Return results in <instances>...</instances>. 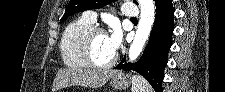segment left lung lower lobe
Masks as SVG:
<instances>
[{
  "label": "left lung lower lobe",
  "instance_id": "obj_1",
  "mask_svg": "<svg viewBox=\"0 0 225 92\" xmlns=\"http://www.w3.org/2000/svg\"><path fill=\"white\" fill-rule=\"evenodd\" d=\"M156 18L151 36L140 60L134 64L122 59L115 69L134 70L145 77L156 92H162L164 69L172 45L174 9L172 0H157Z\"/></svg>",
  "mask_w": 225,
  "mask_h": 92
}]
</instances>
